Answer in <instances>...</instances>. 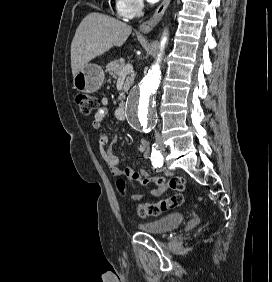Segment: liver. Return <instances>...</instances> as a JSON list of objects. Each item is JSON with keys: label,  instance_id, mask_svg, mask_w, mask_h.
<instances>
[{"label": "liver", "instance_id": "liver-1", "mask_svg": "<svg viewBox=\"0 0 272 282\" xmlns=\"http://www.w3.org/2000/svg\"><path fill=\"white\" fill-rule=\"evenodd\" d=\"M131 32V26L115 18L95 12L88 14L71 43L73 77L92 59L113 47H121Z\"/></svg>", "mask_w": 272, "mask_h": 282}]
</instances>
